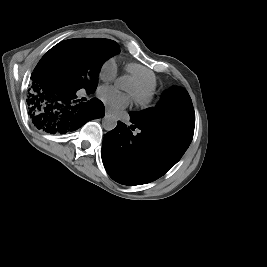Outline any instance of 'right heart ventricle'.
Wrapping results in <instances>:
<instances>
[{"label": "right heart ventricle", "instance_id": "e07e8e85", "mask_svg": "<svg viewBox=\"0 0 267 267\" xmlns=\"http://www.w3.org/2000/svg\"><path fill=\"white\" fill-rule=\"evenodd\" d=\"M126 70L134 83L143 87L147 92L153 93L157 79L152 70L136 63L128 64Z\"/></svg>", "mask_w": 267, "mask_h": 267}]
</instances>
